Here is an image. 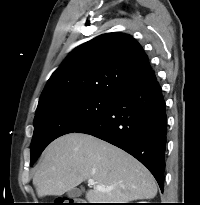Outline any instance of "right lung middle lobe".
<instances>
[{"instance_id": "obj_1", "label": "right lung middle lobe", "mask_w": 200, "mask_h": 205, "mask_svg": "<svg viewBox=\"0 0 200 205\" xmlns=\"http://www.w3.org/2000/svg\"><path fill=\"white\" fill-rule=\"evenodd\" d=\"M113 101V97L77 96L61 100L38 111L34 118L30 166L50 142L96 121L106 113Z\"/></svg>"}]
</instances>
